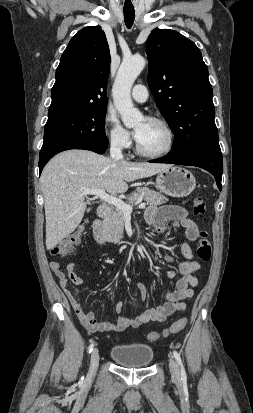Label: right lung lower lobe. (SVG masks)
<instances>
[{
    "mask_svg": "<svg viewBox=\"0 0 253 413\" xmlns=\"http://www.w3.org/2000/svg\"><path fill=\"white\" fill-rule=\"evenodd\" d=\"M108 148V141H95L91 143H84L80 141H66L54 144L47 148H42L39 157V171L41 173L45 164L57 153L69 149H84L94 151L98 154H103Z\"/></svg>",
    "mask_w": 253,
    "mask_h": 413,
    "instance_id": "obj_1",
    "label": "right lung lower lobe"
}]
</instances>
